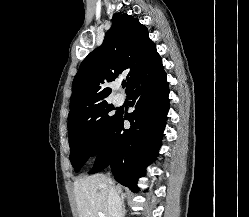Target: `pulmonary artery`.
<instances>
[{
    "mask_svg": "<svg viewBox=\"0 0 249 217\" xmlns=\"http://www.w3.org/2000/svg\"><path fill=\"white\" fill-rule=\"evenodd\" d=\"M115 103L117 105H122L123 104V100L121 98H116Z\"/></svg>",
    "mask_w": 249,
    "mask_h": 217,
    "instance_id": "obj_1",
    "label": "pulmonary artery"
}]
</instances>
